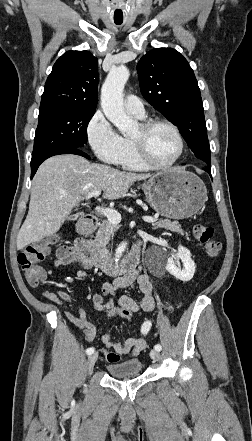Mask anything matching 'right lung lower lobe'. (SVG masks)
Segmentation results:
<instances>
[{
	"mask_svg": "<svg viewBox=\"0 0 252 441\" xmlns=\"http://www.w3.org/2000/svg\"><path fill=\"white\" fill-rule=\"evenodd\" d=\"M60 154H76V155H80L83 156L85 158L90 159V157L85 154L83 151H81L79 148H63V149H58L55 151H51L48 152L47 154L43 155L41 158H39L36 161H31V178H33V176L35 175L38 167L40 166V164L46 160L47 158L54 156V155H60Z\"/></svg>",
	"mask_w": 252,
	"mask_h": 441,
	"instance_id": "1",
	"label": "right lung lower lobe"
}]
</instances>
